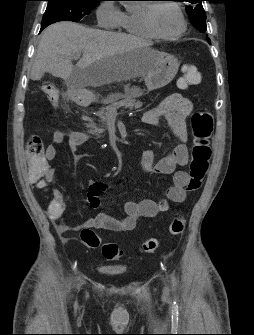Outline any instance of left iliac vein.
<instances>
[{"instance_id": "4c4485c4", "label": "left iliac vein", "mask_w": 254, "mask_h": 335, "mask_svg": "<svg viewBox=\"0 0 254 335\" xmlns=\"http://www.w3.org/2000/svg\"><path fill=\"white\" fill-rule=\"evenodd\" d=\"M167 292H168V290H167V288H165V289H164V293L167 294Z\"/></svg>"}]
</instances>
